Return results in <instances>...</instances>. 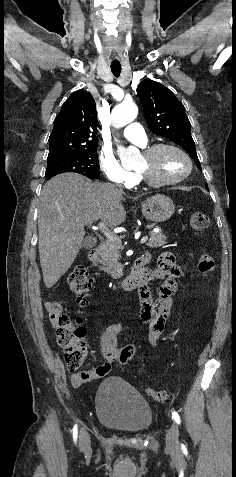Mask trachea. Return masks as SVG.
<instances>
[{"mask_svg": "<svg viewBox=\"0 0 236 477\" xmlns=\"http://www.w3.org/2000/svg\"><path fill=\"white\" fill-rule=\"evenodd\" d=\"M111 71L115 77H118L121 73V65L120 63H112L111 64Z\"/></svg>", "mask_w": 236, "mask_h": 477, "instance_id": "3493384b", "label": "trachea"}]
</instances>
